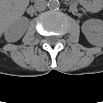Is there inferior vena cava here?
<instances>
[{
    "label": "inferior vena cava",
    "mask_w": 103,
    "mask_h": 103,
    "mask_svg": "<svg viewBox=\"0 0 103 103\" xmlns=\"http://www.w3.org/2000/svg\"><path fill=\"white\" fill-rule=\"evenodd\" d=\"M34 7L37 11H44L47 7V2L45 0H37Z\"/></svg>",
    "instance_id": "1"
}]
</instances>
